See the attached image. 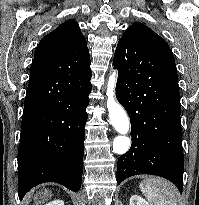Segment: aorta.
<instances>
[{"label":"aorta","instance_id":"1","mask_svg":"<svg viewBox=\"0 0 199 205\" xmlns=\"http://www.w3.org/2000/svg\"><path fill=\"white\" fill-rule=\"evenodd\" d=\"M117 76L116 71L109 76L106 95L110 122L120 134L113 141V152L122 155L130 148V138L125 136L129 131V119L123 107L115 99Z\"/></svg>","mask_w":199,"mask_h":205}]
</instances>
